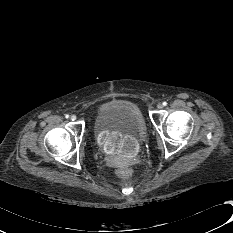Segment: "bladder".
I'll use <instances>...</instances> for the list:
<instances>
[{"label": "bladder", "mask_w": 233, "mask_h": 233, "mask_svg": "<svg viewBox=\"0 0 233 233\" xmlns=\"http://www.w3.org/2000/svg\"><path fill=\"white\" fill-rule=\"evenodd\" d=\"M94 134L120 133L145 138L147 126L137 105L129 102H109L100 106L92 120Z\"/></svg>", "instance_id": "obj_1"}]
</instances>
